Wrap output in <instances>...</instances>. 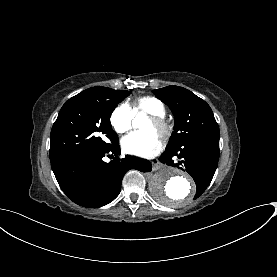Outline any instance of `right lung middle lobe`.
<instances>
[{
	"label": "right lung middle lobe",
	"instance_id": "1",
	"mask_svg": "<svg viewBox=\"0 0 277 277\" xmlns=\"http://www.w3.org/2000/svg\"><path fill=\"white\" fill-rule=\"evenodd\" d=\"M129 91H83L61 108L50 135V161L82 152L100 151L118 144L110 116Z\"/></svg>",
	"mask_w": 277,
	"mask_h": 277
}]
</instances>
